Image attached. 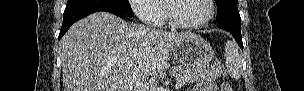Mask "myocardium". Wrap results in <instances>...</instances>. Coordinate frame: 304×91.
<instances>
[{
	"label": "myocardium",
	"mask_w": 304,
	"mask_h": 91,
	"mask_svg": "<svg viewBox=\"0 0 304 91\" xmlns=\"http://www.w3.org/2000/svg\"><path fill=\"white\" fill-rule=\"evenodd\" d=\"M180 1V0H167L164 1V6H165V11H166V18L168 23L178 29H185V30H195V29H200L208 25L211 20L214 17V1L213 0H205L208 7H209V13L208 16L199 23L196 24H186L178 20L175 15H174V4L175 2Z\"/></svg>",
	"instance_id": "obj_1"
}]
</instances>
